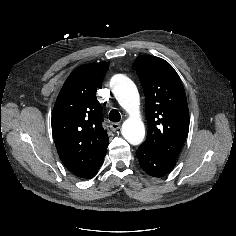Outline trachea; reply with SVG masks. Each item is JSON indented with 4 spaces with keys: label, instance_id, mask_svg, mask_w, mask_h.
<instances>
[{
    "label": "trachea",
    "instance_id": "3493384b",
    "mask_svg": "<svg viewBox=\"0 0 236 236\" xmlns=\"http://www.w3.org/2000/svg\"><path fill=\"white\" fill-rule=\"evenodd\" d=\"M121 119L120 113L116 109H112L109 113V120L112 122H119Z\"/></svg>",
    "mask_w": 236,
    "mask_h": 236
}]
</instances>
